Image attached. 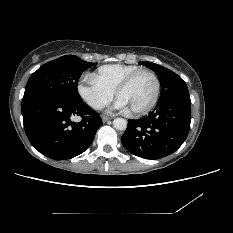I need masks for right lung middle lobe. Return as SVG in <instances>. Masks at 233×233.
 <instances>
[{"label":"right lung middle lobe","mask_w":233,"mask_h":233,"mask_svg":"<svg viewBox=\"0 0 233 233\" xmlns=\"http://www.w3.org/2000/svg\"><path fill=\"white\" fill-rule=\"evenodd\" d=\"M95 63L86 62L75 55H66L42 65L29 78L22 104L43 97L67 101H81L77 90L81 74Z\"/></svg>","instance_id":"1"}]
</instances>
